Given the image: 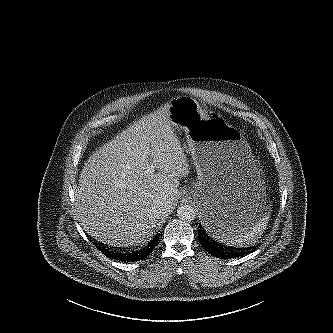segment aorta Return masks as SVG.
<instances>
[{"mask_svg": "<svg viewBox=\"0 0 333 333\" xmlns=\"http://www.w3.org/2000/svg\"><path fill=\"white\" fill-rule=\"evenodd\" d=\"M177 216L180 220L191 222L195 219V209L190 205H182L177 209Z\"/></svg>", "mask_w": 333, "mask_h": 333, "instance_id": "1", "label": "aorta"}]
</instances>
